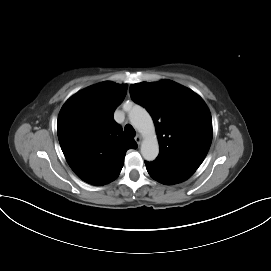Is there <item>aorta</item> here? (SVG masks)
<instances>
[{"label":"aorta","instance_id":"1","mask_svg":"<svg viewBox=\"0 0 271 271\" xmlns=\"http://www.w3.org/2000/svg\"><path fill=\"white\" fill-rule=\"evenodd\" d=\"M131 124L143 135L141 154L147 161H153L159 154V144L150 114L141 106L135 105L129 111Z\"/></svg>","mask_w":271,"mask_h":271}]
</instances>
